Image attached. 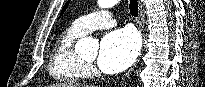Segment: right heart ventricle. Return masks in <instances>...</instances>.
I'll use <instances>...</instances> for the list:
<instances>
[{
	"instance_id": "right-heart-ventricle-1",
	"label": "right heart ventricle",
	"mask_w": 205,
	"mask_h": 87,
	"mask_svg": "<svg viewBox=\"0 0 205 87\" xmlns=\"http://www.w3.org/2000/svg\"><path fill=\"white\" fill-rule=\"evenodd\" d=\"M83 35L71 26L55 41L49 72L57 82L73 84L86 77V65L74 49V42Z\"/></svg>"
}]
</instances>
